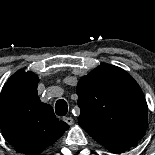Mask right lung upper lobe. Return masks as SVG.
Instances as JSON below:
<instances>
[{"label":"right lung upper lobe","instance_id":"cb5924a9","mask_svg":"<svg viewBox=\"0 0 155 155\" xmlns=\"http://www.w3.org/2000/svg\"><path fill=\"white\" fill-rule=\"evenodd\" d=\"M38 77L20 70L5 83L0 96V128L8 143L25 154L38 155L69 128L38 97Z\"/></svg>","mask_w":155,"mask_h":155}]
</instances>
